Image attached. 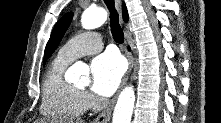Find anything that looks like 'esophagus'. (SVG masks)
<instances>
[{
    "label": "esophagus",
    "mask_w": 221,
    "mask_h": 123,
    "mask_svg": "<svg viewBox=\"0 0 221 123\" xmlns=\"http://www.w3.org/2000/svg\"><path fill=\"white\" fill-rule=\"evenodd\" d=\"M116 5H117L118 9L121 10V5H122L121 0H116ZM126 57H127V60H128V69H127V71L124 75V78L122 80L119 91L126 84L128 78L130 76V73L132 71L133 64H134V59H133V56L130 52L126 51ZM119 91L114 96V98L111 100L109 105L94 119L93 123H108L109 122L112 111H113V108L115 106V103H116V100H117V97H118V94H119Z\"/></svg>",
    "instance_id": "34e87169"
}]
</instances>
